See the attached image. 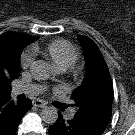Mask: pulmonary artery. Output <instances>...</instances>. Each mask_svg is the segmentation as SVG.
<instances>
[{
  "label": "pulmonary artery",
  "mask_w": 135,
  "mask_h": 135,
  "mask_svg": "<svg viewBox=\"0 0 135 135\" xmlns=\"http://www.w3.org/2000/svg\"><path fill=\"white\" fill-rule=\"evenodd\" d=\"M43 91V87L35 84H28L17 86L12 89V95L27 94L30 96L38 95ZM69 118H72V114L69 115Z\"/></svg>",
  "instance_id": "e3ab8cb5"
}]
</instances>
